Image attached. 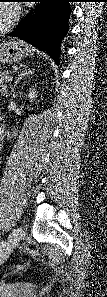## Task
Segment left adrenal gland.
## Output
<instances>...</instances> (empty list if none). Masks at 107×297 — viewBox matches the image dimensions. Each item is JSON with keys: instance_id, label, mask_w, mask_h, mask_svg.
<instances>
[{"instance_id": "1", "label": "left adrenal gland", "mask_w": 107, "mask_h": 297, "mask_svg": "<svg viewBox=\"0 0 107 297\" xmlns=\"http://www.w3.org/2000/svg\"><path fill=\"white\" fill-rule=\"evenodd\" d=\"M27 68V66H24V68L20 71V74H18V77L15 80L13 87L11 88V92H14L15 87L23 79V77H28L30 74L33 73L30 69Z\"/></svg>"}]
</instances>
